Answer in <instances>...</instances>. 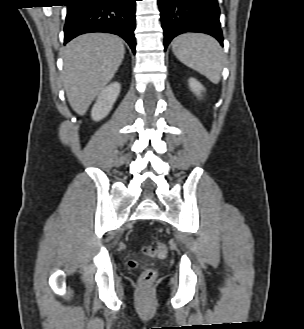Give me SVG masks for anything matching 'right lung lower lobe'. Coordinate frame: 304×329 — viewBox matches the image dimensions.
I'll return each instance as SVG.
<instances>
[{"label": "right lung lower lobe", "instance_id": "obj_1", "mask_svg": "<svg viewBox=\"0 0 304 329\" xmlns=\"http://www.w3.org/2000/svg\"><path fill=\"white\" fill-rule=\"evenodd\" d=\"M64 43L89 32L121 36L135 53L136 0H67Z\"/></svg>", "mask_w": 304, "mask_h": 329}]
</instances>
